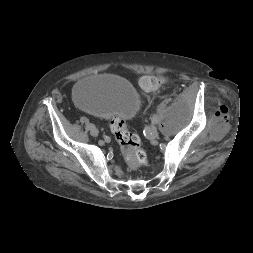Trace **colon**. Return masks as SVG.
<instances>
[{"label": "colon", "mask_w": 253, "mask_h": 253, "mask_svg": "<svg viewBox=\"0 0 253 253\" xmlns=\"http://www.w3.org/2000/svg\"><path fill=\"white\" fill-rule=\"evenodd\" d=\"M164 82V78L155 76H144L139 80L141 88L146 91L154 90ZM110 129L116 141L123 148L124 156L132 168L137 169L147 163V155L140 146V137L129 131L123 119H113L110 122Z\"/></svg>", "instance_id": "5ec220e1"}]
</instances>
